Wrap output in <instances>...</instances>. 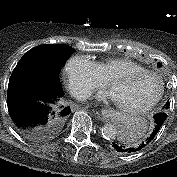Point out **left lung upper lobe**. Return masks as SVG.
Wrapping results in <instances>:
<instances>
[{
  "label": "left lung upper lobe",
  "instance_id": "5c2ea615",
  "mask_svg": "<svg viewBox=\"0 0 177 177\" xmlns=\"http://www.w3.org/2000/svg\"><path fill=\"white\" fill-rule=\"evenodd\" d=\"M168 107H169V102L166 103L165 109H167Z\"/></svg>",
  "mask_w": 177,
  "mask_h": 177
}]
</instances>
